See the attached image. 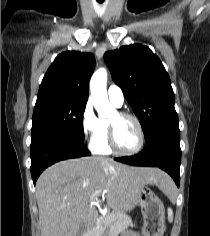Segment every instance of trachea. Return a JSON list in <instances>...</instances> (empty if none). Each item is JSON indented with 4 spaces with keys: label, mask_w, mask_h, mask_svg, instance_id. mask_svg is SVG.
I'll return each mask as SVG.
<instances>
[{
    "label": "trachea",
    "mask_w": 210,
    "mask_h": 236,
    "mask_svg": "<svg viewBox=\"0 0 210 236\" xmlns=\"http://www.w3.org/2000/svg\"><path fill=\"white\" fill-rule=\"evenodd\" d=\"M100 3H102L103 2V0H98Z\"/></svg>",
    "instance_id": "trachea-1"
}]
</instances>
